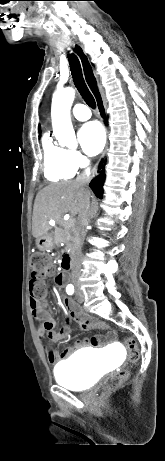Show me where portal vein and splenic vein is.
<instances>
[{"label":"portal vein and splenic vein","instance_id":"obj_1","mask_svg":"<svg viewBox=\"0 0 165 461\" xmlns=\"http://www.w3.org/2000/svg\"><path fill=\"white\" fill-rule=\"evenodd\" d=\"M74 224V220L73 219H70L69 220V225H73Z\"/></svg>","mask_w":165,"mask_h":461}]
</instances>
